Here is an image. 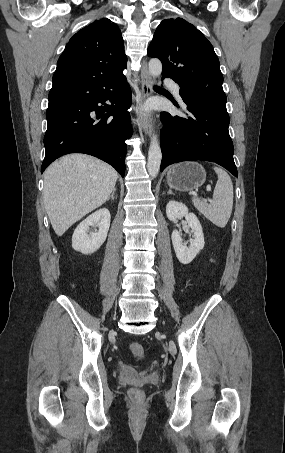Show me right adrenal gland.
I'll list each match as a JSON object with an SVG mask.
<instances>
[{
	"label": "right adrenal gland",
	"mask_w": 285,
	"mask_h": 453,
	"mask_svg": "<svg viewBox=\"0 0 285 453\" xmlns=\"http://www.w3.org/2000/svg\"><path fill=\"white\" fill-rule=\"evenodd\" d=\"M115 191H116V188L113 189L111 195L108 197L107 201H109L110 199L114 200L115 199Z\"/></svg>",
	"instance_id": "obj_1"
}]
</instances>
